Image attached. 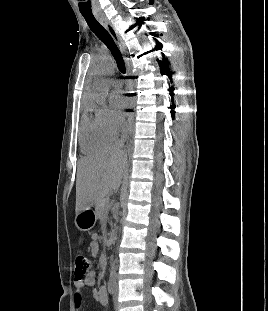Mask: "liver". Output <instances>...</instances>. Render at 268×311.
<instances>
[{
  "mask_svg": "<svg viewBox=\"0 0 268 311\" xmlns=\"http://www.w3.org/2000/svg\"><path fill=\"white\" fill-rule=\"evenodd\" d=\"M126 157L118 146L82 158L76 179V214L120 187Z\"/></svg>",
  "mask_w": 268,
  "mask_h": 311,
  "instance_id": "obj_1",
  "label": "liver"
}]
</instances>
